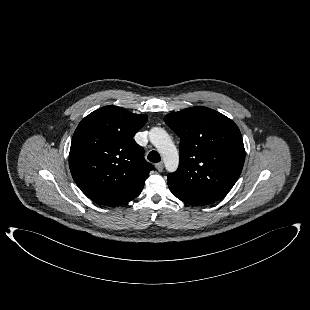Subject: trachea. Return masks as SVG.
Returning a JSON list of instances; mask_svg holds the SVG:
<instances>
[{"label":"trachea","mask_w":310,"mask_h":310,"mask_svg":"<svg viewBox=\"0 0 310 310\" xmlns=\"http://www.w3.org/2000/svg\"><path fill=\"white\" fill-rule=\"evenodd\" d=\"M148 160L153 162V163H158L161 161V157L159 155V153L157 151H151L149 154H148Z\"/></svg>","instance_id":"3493384b"}]
</instances>
